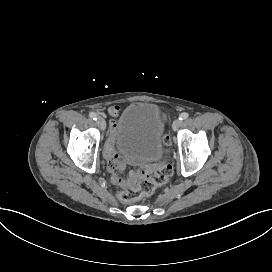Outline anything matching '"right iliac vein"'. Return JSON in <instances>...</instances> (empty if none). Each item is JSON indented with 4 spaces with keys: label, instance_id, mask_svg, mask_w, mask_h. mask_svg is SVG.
Here are the masks:
<instances>
[{
    "label": "right iliac vein",
    "instance_id": "63e3f726",
    "mask_svg": "<svg viewBox=\"0 0 272 272\" xmlns=\"http://www.w3.org/2000/svg\"><path fill=\"white\" fill-rule=\"evenodd\" d=\"M97 124H98V126H100V128H101L102 130H105V128H106V123H105V120H104L102 117H98V118H97Z\"/></svg>",
    "mask_w": 272,
    "mask_h": 272
}]
</instances>
